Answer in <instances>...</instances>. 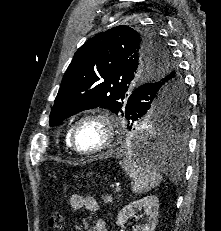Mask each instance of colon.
I'll use <instances>...</instances> for the list:
<instances>
[{"label":"colon","instance_id":"colon-1","mask_svg":"<svg viewBox=\"0 0 221 231\" xmlns=\"http://www.w3.org/2000/svg\"><path fill=\"white\" fill-rule=\"evenodd\" d=\"M64 214L62 211H54L49 220V225L52 228H62L64 226Z\"/></svg>","mask_w":221,"mask_h":231}]
</instances>
